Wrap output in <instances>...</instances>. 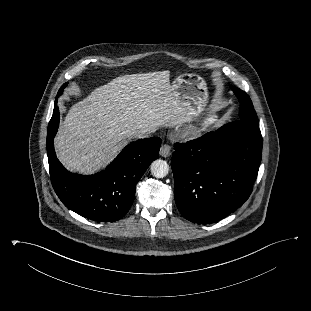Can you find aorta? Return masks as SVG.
Wrapping results in <instances>:
<instances>
[{"label": "aorta", "instance_id": "obj_1", "mask_svg": "<svg viewBox=\"0 0 311 311\" xmlns=\"http://www.w3.org/2000/svg\"><path fill=\"white\" fill-rule=\"evenodd\" d=\"M169 165L166 161L157 159L151 164V173L157 178H163L168 174Z\"/></svg>", "mask_w": 311, "mask_h": 311}]
</instances>
